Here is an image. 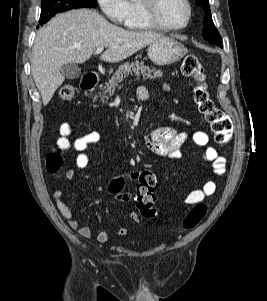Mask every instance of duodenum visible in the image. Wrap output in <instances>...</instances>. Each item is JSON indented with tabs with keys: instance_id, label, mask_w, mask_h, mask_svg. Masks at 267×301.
I'll list each match as a JSON object with an SVG mask.
<instances>
[{
	"instance_id": "duodenum-1",
	"label": "duodenum",
	"mask_w": 267,
	"mask_h": 301,
	"mask_svg": "<svg viewBox=\"0 0 267 301\" xmlns=\"http://www.w3.org/2000/svg\"><path fill=\"white\" fill-rule=\"evenodd\" d=\"M98 83V77L96 75H87L82 79L81 88L85 91L93 90ZM148 95L146 93H142L138 98L141 101H145Z\"/></svg>"
}]
</instances>
